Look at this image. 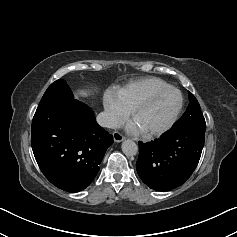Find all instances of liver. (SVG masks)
<instances>
[{"instance_id":"6515ba94","label":"liver","mask_w":237,"mask_h":237,"mask_svg":"<svg viewBox=\"0 0 237 237\" xmlns=\"http://www.w3.org/2000/svg\"><path fill=\"white\" fill-rule=\"evenodd\" d=\"M88 93H90V90H84V89L78 90L79 95H85V94H88Z\"/></svg>"}]
</instances>
